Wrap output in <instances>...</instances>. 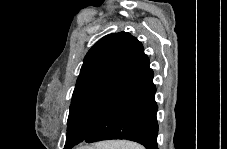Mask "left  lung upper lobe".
<instances>
[{
	"mask_svg": "<svg viewBox=\"0 0 227 149\" xmlns=\"http://www.w3.org/2000/svg\"><path fill=\"white\" fill-rule=\"evenodd\" d=\"M143 45L127 32L101 38L84 58L72 95L65 147L82 143L128 84Z\"/></svg>",
	"mask_w": 227,
	"mask_h": 149,
	"instance_id": "1",
	"label": "left lung upper lobe"
}]
</instances>
